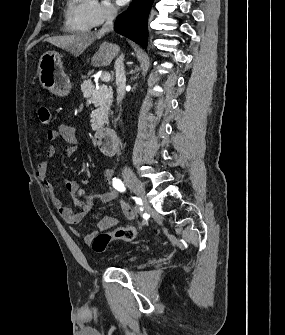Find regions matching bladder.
<instances>
[{"mask_svg":"<svg viewBox=\"0 0 285 335\" xmlns=\"http://www.w3.org/2000/svg\"><path fill=\"white\" fill-rule=\"evenodd\" d=\"M132 253H133V260H128V265H134L140 257V252H132ZM119 258H122V256ZM102 263L104 264V259L102 260Z\"/></svg>","mask_w":285,"mask_h":335,"instance_id":"obj_1","label":"bladder"}]
</instances>
